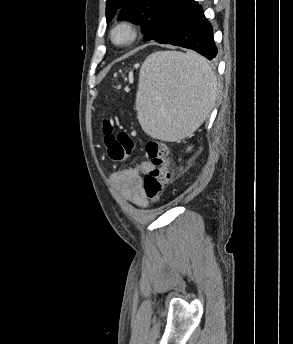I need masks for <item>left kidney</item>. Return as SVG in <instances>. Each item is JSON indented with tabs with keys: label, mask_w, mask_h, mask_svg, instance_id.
Masks as SVG:
<instances>
[{
	"label": "left kidney",
	"mask_w": 293,
	"mask_h": 344,
	"mask_svg": "<svg viewBox=\"0 0 293 344\" xmlns=\"http://www.w3.org/2000/svg\"><path fill=\"white\" fill-rule=\"evenodd\" d=\"M191 148H192V147H188V149H187V150H188V151H190V150H191Z\"/></svg>",
	"instance_id": "5707ae66"
}]
</instances>
